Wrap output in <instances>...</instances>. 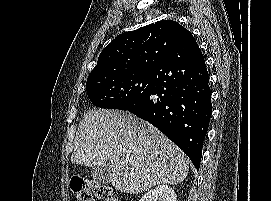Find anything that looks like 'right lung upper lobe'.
I'll list each match as a JSON object with an SVG mask.
<instances>
[{"mask_svg":"<svg viewBox=\"0 0 271 201\" xmlns=\"http://www.w3.org/2000/svg\"><path fill=\"white\" fill-rule=\"evenodd\" d=\"M189 34L172 20L122 33L102 50L88 78L128 72L153 73Z\"/></svg>","mask_w":271,"mask_h":201,"instance_id":"right-lung-upper-lobe-1","label":"right lung upper lobe"}]
</instances>
